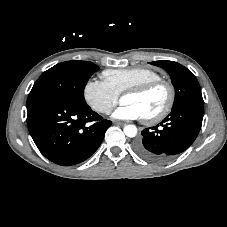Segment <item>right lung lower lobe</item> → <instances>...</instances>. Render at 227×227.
Returning <instances> with one entry per match:
<instances>
[{
  "label": "right lung lower lobe",
  "instance_id": "right-lung-lower-lobe-1",
  "mask_svg": "<svg viewBox=\"0 0 227 227\" xmlns=\"http://www.w3.org/2000/svg\"><path fill=\"white\" fill-rule=\"evenodd\" d=\"M89 122H93L88 126ZM29 132L50 161L70 166L89 158L100 146L111 121L86 104L38 100L27 105Z\"/></svg>",
  "mask_w": 227,
  "mask_h": 227
}]
</instances>
